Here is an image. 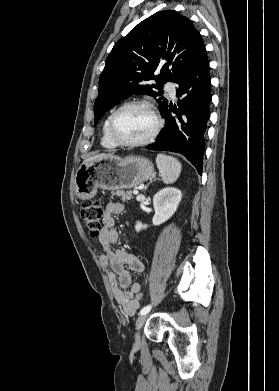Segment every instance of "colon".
I'll return each mask as SVG.
<instances>
[{
	"instance_id": "colon-1",
	"label": "colon",
	"mask_w": 279,
	"mask_h": 391,
	"mask_svg": "<svg viewBox=\"0 0 279 391\" xmlns=\"http://www.w3.org/2000/svg\"><path fill=\"white\" fill-rule=\"evenodd\" d=\"M103 215V206L99 201L89 200L83 202L81 206V218L90 236L94 239L99 238L103 224ZM136 299L141 304L144 300L143 293H138Z\"/></svg>"
}]
</instances>
